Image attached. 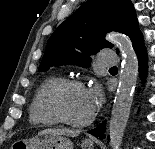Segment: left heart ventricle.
Segmentation results:
<instances>
[{"instance_id": "1", "label": "left heart ventricle", "mask_w": 155, "mask_h": 149, "mask_svg": "<svg viewBox=\"0 0 155 149\" xmlns=\"http://www.w3.org/2000/svg\"><path fill=\"white\" fill-rule=\"evenodd\" d=\"M61 107L66 116L75 121L85 120L93 113L87 91L83 88L65 90L61 95Z\"/></svg>"}]
</instances>
